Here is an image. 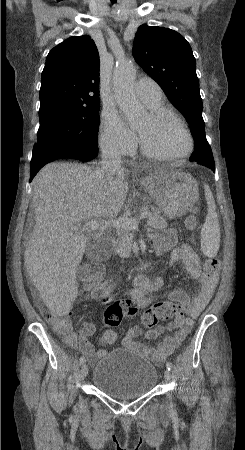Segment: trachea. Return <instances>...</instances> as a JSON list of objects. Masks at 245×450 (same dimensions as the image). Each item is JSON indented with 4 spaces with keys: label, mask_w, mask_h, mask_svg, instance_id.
Masks as SVG:
<instances>
[{
    "label": "trachea",
    "mask_w": 245,
    "mask_h": 450,
    "mask_svg": "<svg viewBox=\"0 0 245 450\" xmlns=\"http://www.w3.org/2000/svg\"><path fill=\"white\" fill-rule=\"evenodd\" d=\"M117 2V0H111V4H115Z\"/></svg>",
    "instance_id": "1"
}]
</instances>
